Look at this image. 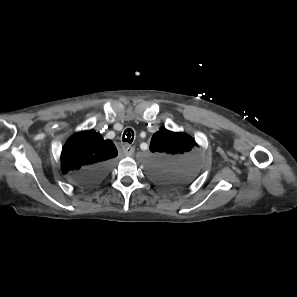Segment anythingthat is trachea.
<instances>
[{"label": "trachea", "mask_w": 297, "mask_h": 297, "mask_svg": "<svg viewBox=\"0 0 297 297\" xmlns=\"http://www.w3.org/2000/svg\"><path fill=\"white\" fill-rule=\"evenodd\" d=\"M133 139H134L133 130L132 129H127L123 134L122 141L131 144L133 142Z\"/></svg>", "instance_id": "obj_1"}]
</instances>
